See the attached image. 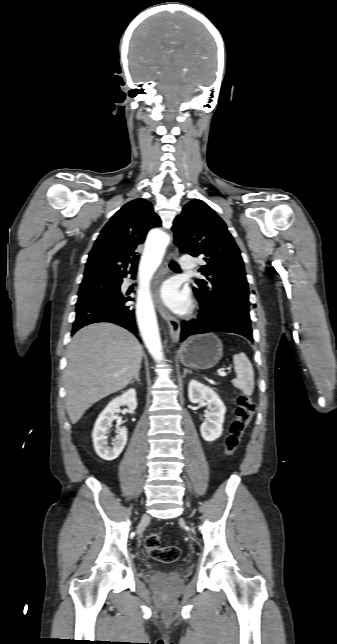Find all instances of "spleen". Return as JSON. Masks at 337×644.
<instances>
[{"label":"spleen","instance_id":"obj_1","mask_svg":"<svg viewBox=\"0 0 337 644\" xmlns=\"http://www.w3.org/2000/svg\"><path fill=\"white\" fill-rule=\"evenodd\" d=\"M234 370L237 378L232 381L233 385L242 390L247 396L254 391V371L252 364L244 353L235 354L233 357Z\"/></svg>","mask_w":337,"mask_h":644}]
</instances>
